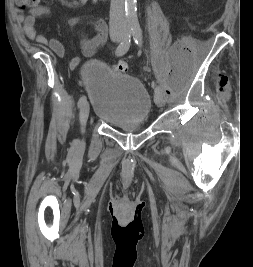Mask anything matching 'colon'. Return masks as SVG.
Returning <instances> with one entry per match:
<instances>
[{
    "instance_id": "obj_1",
    "label": "colon",
    "mask_w": 253,
    "mask_h": 267,
    "mask_svg": "<svg viewBox=\"0 0 253 267\" xmlns=\"http://www.w3.org/2000/svg\"><path fill=\"white\" fill-rule=\"evenodd\" d=\"M39 3V0H15V4L19 9H24L27 7H34ZM127 63L124 61H119L115 64L114 70L119 73H124L127 71Z\"/></svg>"
}]
</instances>
